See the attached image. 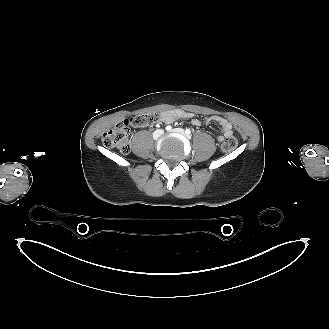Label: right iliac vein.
I'll return each mask as SVG.
<instances>
[{"label": "right iliac vein", "mask_w": 329, "mask_h": 329, "mask_svg": "<svg viewBox=\"0 0 329 329\" xmlns=\"http://www.w3.org/2000/svg\"><path fill=\"white\" fill-rule=\"evenodd\" d=\"M162 134V130H157L155 133H154V138H158L160 135Z\"/></svg>", "instance_id": "63e3f726"}]
</instances>
